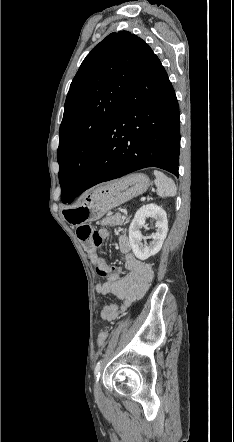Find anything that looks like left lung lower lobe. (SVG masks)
I'll return each instance as SVG.
<instances>
[{
  "instance_id": "1",
  "label": "left lung lower lobe",
  "mask_w": 234,
  "mask_h": 442,
  "mask_svg": "<svg viewBox=\"0 0 234 442\" xmlns=\"http://www.w3.org/2000/svg\"><path fill=\"white\" fill-rule=\"evenodd\" d=\"M179 128L174 89L154 54L123 97L83 182L68 203L98 183L147 167L178 177Z\"/></svg>"
}]
</instances>
